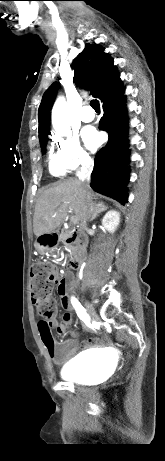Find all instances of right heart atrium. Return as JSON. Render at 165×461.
I'll use <instances>...</instances> for the list:
<instances>
[{"instance_id":"obj_1","label":"right heart atrium","mask_w":165,"mask_h":461,"mask_svg":"<svg viewBox=\"0 0 165 461\" xmlns=\"http://www.w3.org/2000/svg\"><path fill=\"white\" fill-rule=\"evenodd\" d=\"M54 141L57 144V159L65 170L73 171L92 163L91 155L77 137L56 135Z\"/></svg>"}]
</instances>
